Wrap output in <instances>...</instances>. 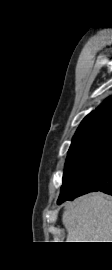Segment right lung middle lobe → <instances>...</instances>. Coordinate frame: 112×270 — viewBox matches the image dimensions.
I'll use <instances>...</instances> for the list:
<instances>
[{"label": "right lung middle lobe", "instance_id": "1", "mask_svg": "<svg viewBox=\"0 0 112 270\" xmlns=\"http://www.w3.org/2000/svg\"><path fill=\"white\" fill-rule=\"evenodd\" d=\"M112 144V125L96 127L73 138L68 151L63 185L57 203L82 195V177L94 168Z\"/></svg>", "mask_w": 112, "mask_h": 270}]
</instances>
